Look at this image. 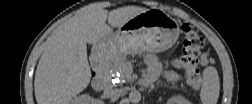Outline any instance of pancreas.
I'll return each instance as SVG.
<instances>
[{"label":"pancreas","instance_id":"pancreas-1","mask_svg":"<svg viewBox=\"0 0 252 104\" xmlns=\"http://www.w3.org/2000/svg\"><path fill=\"white\" fill-rule=\"evenodd\" d=\"M112 67H113L112 64H108V65H107V68H105L104 70H105L106 72H109V70H110Z\"/></svg>","mask_w":252,"mask_h":104}]
</instances>
